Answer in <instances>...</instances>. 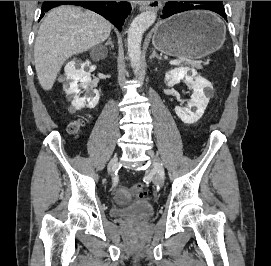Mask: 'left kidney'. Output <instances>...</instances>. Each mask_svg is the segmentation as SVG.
<instances>
[{
  "label": "left kidney",
  "instance_id": "1",
  "mask_svg": "<svg viewBox=\"0 0 271 266\" xmlns=\"http://www.w3.org/2000/svg\"><path fill=\"white\" fill-rule=\"evenodd\" d=\"M189 72L191 74L189 75ZM185 80L193 89L191 100L187 107L176 106L175 113L186 124L197 122L208 105L210 96L206 95L204 90H212L211 83L205 78L198 76L197 72L189 68H175L165 74V82L168 86L180 83ZM194 109V110H192Z\"/></svg>",
  "mask_w": 271,
  "mask_h": 266
}]
</instances>
